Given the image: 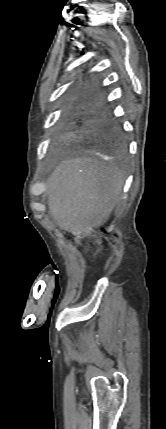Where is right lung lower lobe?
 <instances>
[{"label": "right lung lower lobe", "instance_id": "98d812e1", "mask_svg": "<svg viewBox=\"0 0 166 429\" xmlns=\"http://www.w3.org/2000/svg\"><path fill=\"white\" fill-rule=\"evenodd\" d=\"M84 126L87 133L98 140H106L112 132L119 130L110 113L97 102L86 107Z\"/></svg>", "mask_w": 166, "mask_h": 429}]
</instances>
